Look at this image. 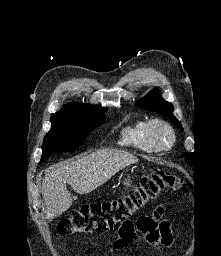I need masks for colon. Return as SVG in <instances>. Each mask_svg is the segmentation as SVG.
I'll list each match as a JSON object with an SVG mask.
<instances>
[{"label":"colon","instance_id":"obj_1","mask_svg":"<svg viewBox=\"0 0 221 256\" xmlns=\"http://www.w3.org/2000/svg\"><path fill=\"white\" fill-rule=\"evenodd\" d=\"M183 179L166 170H154L144 175L121 196L106 201L83 205L63 218L57 226L60 235L126 230L134 215L145 205L164 193L180 190Z\"/></svg>","mask_w":221,"mask_h":256}]
</instances>
